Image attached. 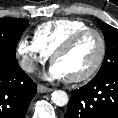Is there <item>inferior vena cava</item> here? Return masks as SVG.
<instances>
[{
    "mask_svg": "<svg viewBox=\"0 0 118 118\" xmlns=\"http://www.w3.org/2000/svg\"><path fill=\"white\" fill-rule=\"evenodd\" d=\"M21 68L29 73H32L36 69V64L29 59L21 61Z\"/></svg>",
    "mask_w": 118,
    "mask_h": 118,
    "instance_id": "inferior-vena-cava-1",
    "label": "inferior vena cava"
}]
</instances>
